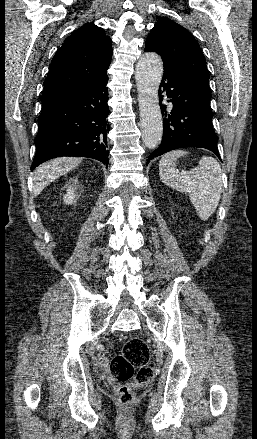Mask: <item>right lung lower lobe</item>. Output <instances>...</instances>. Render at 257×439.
<instances>
[{
  "mask_svg": "<svg viewBox=\"0 0 257 439\" xmlns=\"http://www.w3.org/2000/svg\"><path fill=\"white\" fill-rule=\"evenodd\" d=\"M107 74L99 80L42 100L31 166L62 156L89 157L108 167Z\"/></svg>",
  "mask_w": 257,
  "mask_h": 439,
  "instance_id": "98d812e1",
  "label": "right lung lower lobe"
}]
</instances>
